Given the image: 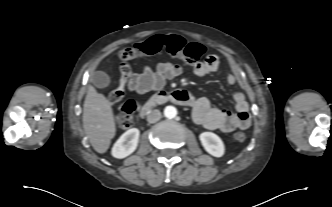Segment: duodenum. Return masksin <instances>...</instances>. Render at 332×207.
Masks as SVG:
<instances>
[{
	"instance_id": "duodenum-1",
	"label": "duodenum",
	"mask_w": 332,
	"mask_h": 207,
	"mask_svg": "<svg viewBox=\"0 0 332 207\" xmlns=\"http://www.w3.org/2000/svg\"><path fill=\"white\" fill-rule=\"evenodd\" d=\"M174 103L190 107L194 104V97L186 90L161 91L151 97L140 109L139 115L144 118L155 107L165 103Z\"/></svg>"
}]
</instances>
